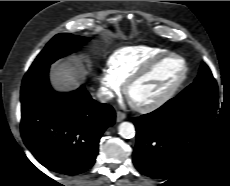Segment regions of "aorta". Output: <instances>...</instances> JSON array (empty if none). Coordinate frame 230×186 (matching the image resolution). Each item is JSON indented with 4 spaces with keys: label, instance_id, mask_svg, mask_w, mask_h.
I'll return each mask as SVG.
<instances>
[{
    "label": "aorta",
    "instance_id": "762f6f07",
    "mask_svg": "<svg viewBox=\"0 0 230 186\" xmlns=\"http://www.w3.org/2000/svg\"><path fill=\"white\" fill-rule=\"evenodd\" d=\"M118 132L121 137L129 139L135 136V127L130 122H122L118 127Z\"/></svg>",
    "mask_w": 230,
    "mask_h": 186
}]
</instances>
